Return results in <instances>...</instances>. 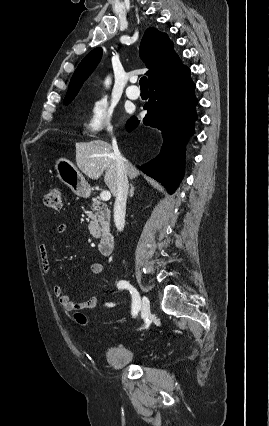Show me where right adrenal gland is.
I'll return each instance as SVG.
<instances>
[{
  "mask_svg": "<svg viewBox=\"0 0 269 426\" xmlns=\"http://www.w3.org/2000/svg\"><path fill=\"white\" fill-rule=\"evenodd\" d=\"M133 195H134V186L131 184L130 190H129V196L133 197Z\"/></svg>",
  "mask_w": 269,
  "mask_h": 426,
  "instance_id": "2a0ac1e0",
  "label": "right adrenal gland"
}]
</instances>
